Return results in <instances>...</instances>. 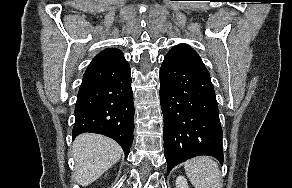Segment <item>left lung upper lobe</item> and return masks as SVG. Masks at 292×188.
<instances>
[{"label": "left lung upper lobe", "mask_w": 292, "mask_h": 188, "mask_svg": "<svg viewBox=\"0 0 292 188\" xmlns=\"http://www.w3.org/2000/svg\"><path fill=\"white\" fill-rule=\"evenodd\" d=\"M167 55L203 72L209 73L199 55L187 44L174 46Z\"/></svg>", "instance_id": "obj_1"}]
</instances>
